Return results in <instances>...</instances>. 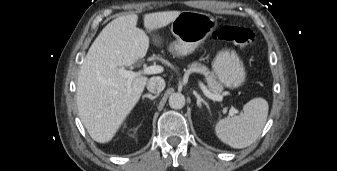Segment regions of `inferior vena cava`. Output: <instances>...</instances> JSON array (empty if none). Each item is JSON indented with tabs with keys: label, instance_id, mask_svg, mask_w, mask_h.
<instances>
[{
	"label": "inferior vena cava",
	"instance_id": "inferior-vena-cava-1",
	"mask_svg": "<svg viewBox=\"0 0 337 171\" xmlns=\"http://www.w3.org/2000/svg\"><path fill=\"white\" fill-rule=\"evenodd\" d=\"M165 81L161 77H151L147 83V89L151 93H160L165 88Z\"/></svg>",
	"mask_w": 337,
	"mask_h": 171
}]
</instances>
